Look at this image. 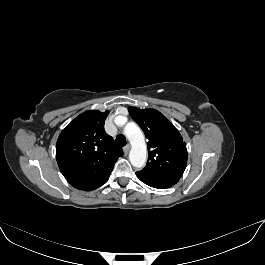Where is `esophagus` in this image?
<instances>
[{
	"mask_svg": "<svg viewBox=\"0 0 265 265\" xmlns=\"http://www.w3.org/2000/svg\"><path fill=\"white\" fill-rule=\"evenodd\" d=\"M131 146L128 144L124 147V152L127 154L130 151Z\"/></svg>",
	"mask_w": 265,
	"mask_h": 265,
	"instance_id": "1",
	"label": "esophagus"
}]
</instances>
